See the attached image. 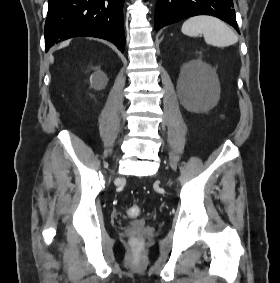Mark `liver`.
<instances>
[{"mask_svg": "<svg viewBox=\"0 0 280 283\" xmlns=\"http://www.w3.org/2000/svg\"><path fill=\"white\" fill-rule=\"evenodd\" d=\"M68 44H69V41L63 43V44L61 45V47H64V46H66V45H68Z\"/></svg>", "mask_w": 280, "mask_h": 283, "instance_id": "6515ba94", "label": "liver"}]
</instances>
